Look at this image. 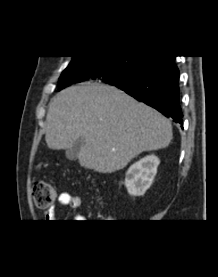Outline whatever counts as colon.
I'll use <instances>...</instances> for the list:
<instances>
[{
	"mask_svg": "<svg viewBox=\"0 0 218 277\" xmlns=\"http://www.w3.org/2000/svg\"><path fill=\"white\" fill-rule=\"evenodd\" d=\"M32 196L35 205L40 209L51 207L56 200V190L53 185L44 181H37L32 186Z\"/></svg>",
	"mask_w": 218,
	"mask_h": 277,
	"instance_id": "1",
	"label": "colon"
}]
</instances>
